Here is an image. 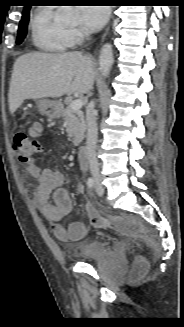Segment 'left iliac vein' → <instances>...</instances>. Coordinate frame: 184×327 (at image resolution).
I'll use <instances>...</instances> for the list:
<instances>
[{
	"label": "left iliac vein",
	"instance_id": "obj_1",
	"mask_svg": "<svg viewBox=\"0 0 184 327\" xmlns=\"http://www.w3.org/2000/svg\"><path fill=\"white\" fill-rule=\"evenodd\" d=\"M96 193H97L99 196H102V195H103V188H102L100 182H97V185H96Z\"/></svg>",
	"mask_w": 184,
	"mask_h": 327
}]
</instances>
